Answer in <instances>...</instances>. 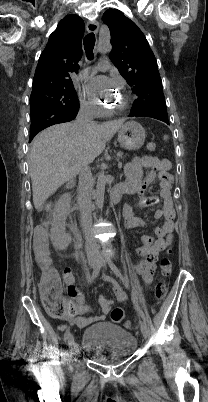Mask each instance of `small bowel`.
<instances>
[{
	"label": "small bowel",
	"mask_w": 208,
	"mask_h": 402,
	"mask_svg": "<svg viewBox=\"0 0 208 402\" xmlns=\"http://www.w3.org/2000/svg\"><path fill=\"white\" fill-rule=\"evenodd\" d=\"M170 162L166 159L154 156H142L135 158L130 164L126 166V189L130 193H138L139 199L135 202L128 204L124 210V217L126 226L130 229L140 228L146 226V222L136 216L138 208L146 206L151 199L145 197L147 188L154 182L158 181L160 186V197L162 200L161 207L156 211L155 217L163 219L164 224L162 227L155 228L154 235H144L142 237L143 246L137 250L141 260L136 263L135 270L141 273L143 280L146 283H151L155 271L156 258L160 251L165 249L172 241L173 237V223H174V209L171 199L172 176L169 173ZM143 168L149 169V172L144 176ZM63 275L65 280L68 281V294L72 298L74 306V315H60L56 321L60 324L76 323L79 330H88L90 323L99 324L101 317L104 318L112 307V301L108 298L101 296L99 298L100 306L102 309L101 317L94 315L88 317L85 314L88 311V306L84 303L81 296L78 295L77 289L74 285V277L70 270H64ZM72 275V277H71ZM104 283L109 286L115 294L117 302H125L127 294L122 284L110 277L104 278ZM50 298L52 296L61 295H42Z\"/></svg>",
	"instance_id": "c3829d8e"
}]
</instances>
